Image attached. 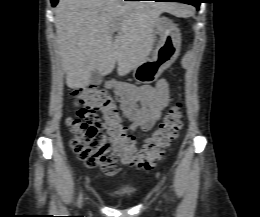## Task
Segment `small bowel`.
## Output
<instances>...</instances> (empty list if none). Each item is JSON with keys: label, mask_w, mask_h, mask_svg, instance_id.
Here are the masks:
<instances>
[{"label": "small bowel", "mask_w": 260, "mask_h": 217, "mask_svg": "<svg viewBox=\"0 0 260 217\" xmlns=\"http://www.w3.org/2000/svg\"><path fill=\"white\" fill-rule=\"evenodd\" d=\"M105 87L114 92L122 115L130 122L132 131L150 130L167 107L171 93L166 79L159 80L155 86H135L110 80L105 83Z\"/></svg>", "instance_id": "c3829d8e"}]
</instances>
